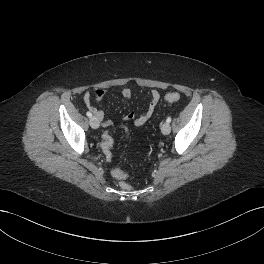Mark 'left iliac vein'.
<instances>
[{
    "label": "left iliac vein",
    "instance_id": "obj_1",
    "mask_svg": "<svg viewBox=\"0 0 264 264\" xmlns=\"http://www.w3.org/2000/svg\"><path fill=\"white\" fill-rule=\"evenodd\" d=\"M161 131L163 134L168 135L171 132V126L168 122H165L162 127Z\"/></svg>",
    "mask_w": 264,
    "mask_h": 264
}]
</instances>
